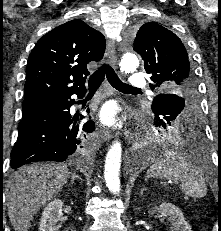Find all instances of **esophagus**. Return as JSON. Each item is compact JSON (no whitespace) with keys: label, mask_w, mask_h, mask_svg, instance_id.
<instances>
[{"label":"esophagus","mask_w":221,"mask_h":231,"mask_svg":"<svg viewBox=\"0 0 221 231\" xmlns=\"http://www.w3.org/2000/svg\"><path fill=\"white\" fill-rule=\"evenodd\" d=\"M106 57L108 60V63L111 64L112 66L116 65V48H115V42L113 39H110L107 44V49H106ZM100 136L104 141H109L113 138L112 134L110 131H108L105 128L100 129Z\"/></svg>","instance_id":"34e87169"}]
</instances>
